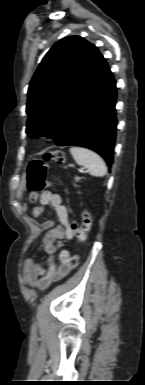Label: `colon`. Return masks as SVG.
Returning a JSON list of instances; mask_svg holds the SVG:
<instances>
[{
    "label": "colon",
    "mask_w": 145,
    "mask_h": 385,
    "mask_svg": "<svg viewBox=\"0 0 145 385\" xmlns=\"http://www.w3.org/2000/svg\"><path fill=\"white\" fill-rule=\"evenodd\" d=\"M65 161V154L62 151H49L45 153L40 160H34L30 163L27 171V189L30 193V199L36 201L38 194L46 186V176L50 163L62 164ZM92 226V217L89 211L84 210L81 216V222L73 226V236L78 244H83L88 232ZM73 267L78 264V256L74 255L70 259Z\"/></svg>",
    "instance_id": "1"
}]
</instances>
